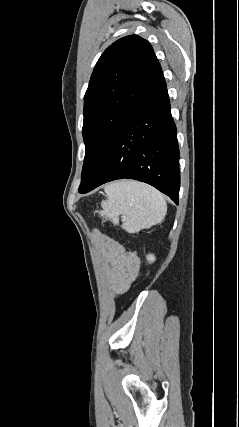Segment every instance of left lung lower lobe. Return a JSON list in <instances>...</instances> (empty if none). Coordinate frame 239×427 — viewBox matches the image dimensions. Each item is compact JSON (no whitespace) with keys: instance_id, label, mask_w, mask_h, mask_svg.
<instances>
[{"instance_id":"obj_1","label":"left lung lower lobe","mask_w":239,"mask_h":427,"mask_svg":"<svg viewBox=\"0 0 239 427\" xmlns=\"http://www.w3.org/2000/svg\"><path fill=\"white\" fill-rule=\"evenodd\" d=\"M122 178L148 183L178 204L179 148L165 83L121 127L80 193Z\"/></svg>"}]
</instances>
